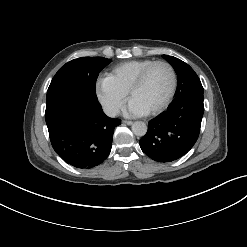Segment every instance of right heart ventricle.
<instances>
[{"label":"right heart ventricle","mask_w":247,"mask_h":247,"mask_svg":"<svg viewBox=\"0 0 247 247\" xmlns=\"http://www.w3.org/2000/svg\"><path fill=\"white\" fill-rule=\"evenodd\" d=\"M152 59L129 60L115 65L109 77L124 91L128 92L131 84L147 66L152 64Z\"/></svg>","instance_id":"1"}]
</instances>
